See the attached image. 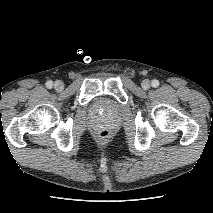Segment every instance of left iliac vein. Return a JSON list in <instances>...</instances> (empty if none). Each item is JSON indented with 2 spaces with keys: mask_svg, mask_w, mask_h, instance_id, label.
Instances as JSON below:
<instances>
[{
  "mask_svg": "<svg viewBox=\"0 0 213 213\" xmlns=\"http://www.w3.org/2000/svg\"><path fill=\"white\" fill-rule=\"evenodd\" d=\"M141 86L144 90H148L150 88V81L147 79L143 80Z\"/></svg>",
  "mask_w": 213,
  "mask_h": 213,
  "instance_id": "4c4485c4",
  "label": "left iliac vein"
}]
</instances>
